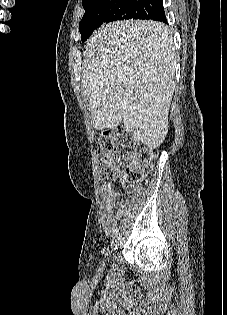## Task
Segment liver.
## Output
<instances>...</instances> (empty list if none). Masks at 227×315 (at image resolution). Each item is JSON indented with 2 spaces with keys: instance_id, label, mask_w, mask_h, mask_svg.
<instances>
[{
  "instance_id": "obj_1",
  "label": "liver",
  "mask_w": 227,
  "mask_h": 315,
  "mask_svg": "<svg viewBox=\"0 0 227 315\" xmlns=\"http://www.w3.org/2000/svg\"><path fill=\"white\" fill-rule=\"evenodd\" d=\"M82 88L96 129L121 122L135 141L159 147L168 133L177 57L168 27L152 20L108 23L84 51Z\"/></svg>"
}]
</instances>
